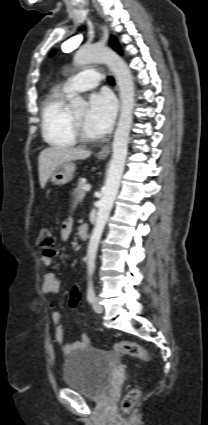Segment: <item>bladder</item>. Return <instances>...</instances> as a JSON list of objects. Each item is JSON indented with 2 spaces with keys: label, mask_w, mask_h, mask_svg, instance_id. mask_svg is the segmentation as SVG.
<instances>
[{
  "label": "bladder",
  "mask_w": 208,
  "mask_h": 425,
  "mask_svg": "<svg viewBox=\"0 0 208 425\" xmlns=\"http://www.w3.org/2000/svg\"><path fill=\"white\" fill-rule=\"evenodd\" d=\"M115 356L106 350L85 347L71 353L63 370L64 384L83 396L101 399L112 386Z\"/></svg>",
  "instance_id": "bladder-1"
}]
</instances>
